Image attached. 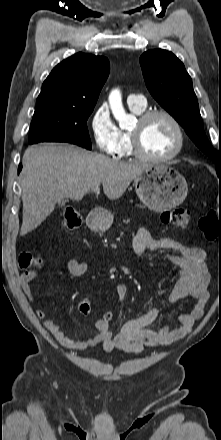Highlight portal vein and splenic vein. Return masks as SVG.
Here are the masks:
<instances>
[{
    "mask_svg": "<svg viewBox=\"0 0 221 440\" xmlns=\"http://www.w3.org/2000/svg\"><path fill=\"white\" fill-rule=\"evenodd\" d=\"M92 191H93L94 193L99 192V187H94V188L92 189Z\"/></svg>",
    "mask_w": 221,
    "mask_h": 440,
    "instance_id": "18ae733b",
    "label": "portal vein and splenic vein"
}]
</instances>
